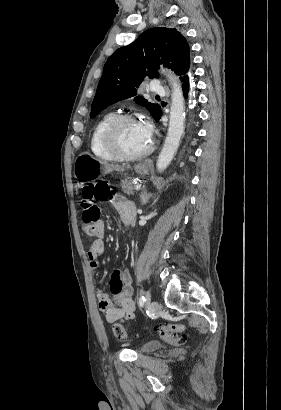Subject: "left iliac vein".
Returning a JSON list of instances; mask_svg holds the SVG:
<instances>
[{
    "instance_id": "1",
    "label": "left iliac vein",
    "mask_w": 281,
    "mask_h": 410,
    "mask_svg": "<svg viewBox=\"0 0 281 410\" xmlns=\"http://www.w3.org/2000/svg\"><path fill=\"white\" fill-rule=\"evenodd\" d=\"M147 300H148V308L150 310L151 313H156L159 311L160 309V305L157 301L152 300L150 301V296L149 294H147Z\"/></svg>"
}]
</instances>
